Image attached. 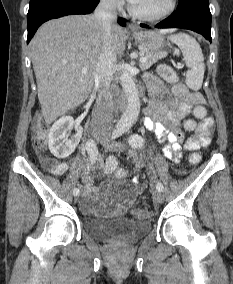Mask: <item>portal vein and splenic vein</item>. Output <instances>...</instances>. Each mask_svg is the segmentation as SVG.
Returning <instances> with one entry per match:
<instances>
[{
	"label": "portal vein and splenic vein",
	"mask_w": 233,
	"mask_h": 284,
	"mask_svg": "<svg viewBox=\"0 0 233 284\" xmlns=\"http://www.w3.org/2000/svg\"><path fill=\"white\" fill-rule=\"evenodd\" d=\"M144 62H146V58H145V57H141V58H140V63H144ZM82 72H83V73H86V72H87V68H83V69H82Z\"/></svg>",
	"instance_id": "portal-vein-and-splenic-vein-1"
}]
</instances>
